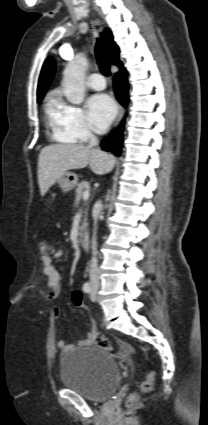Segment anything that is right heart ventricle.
Segmentation results:
<instances>
[{
    "label": "right heart ventricle",
    "mask_w": 208,
    "mask_h": 425,
    "mask_svg": "<svg viewBox=\"0 0 208 425\" xmlns=\"http://www.w3.org/2000/svg\"><path fill=\"white\" fill-rule=\"evenodd\" d=\"M59 103L60 101L54 95H49L45 105L47 122L52 130V137L61 143H75L76 141L61 125Z\"/></svg>",
    "instance_id": "right-heart-ventricle-1"
}]
</instances>
